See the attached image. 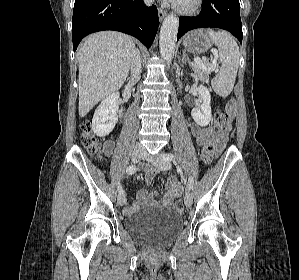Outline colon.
Returning a JSON list of instances; mask_svg holds the SVG:
<instances>
[{
	"mask_svg": "<svg viewBox=\"0 0 299 280\" xmlns=\"http://www.w3.org/2000/svg\"><path fill=\"white\" fill-rule=\"evenodd\" d=\"M235 107L234 101H229L227 103V112H224L222 110H217L215 112L214 116V122H213V129L216 133L221 132L227 121H228V112L232 111ZM81 143L86 148V150L93 155L100 154L101 152V145L97 138V136L94 134L92 130L91 123L88 121H85L81 125ZM214 154V148L212 145H206L203 147L201 151V158L202 161L205 164H208L211 162L212 157ZM174 209L181 213L183 211V203L181 201H178L174 204Z\"/></svg>",
	"mask_w": 299,
	"mask_h": 280,
	"instance_id": "colon-1",
	"label": "colon"
}]
</instances>
